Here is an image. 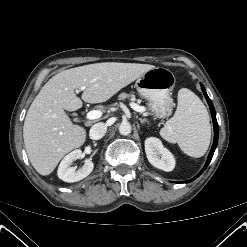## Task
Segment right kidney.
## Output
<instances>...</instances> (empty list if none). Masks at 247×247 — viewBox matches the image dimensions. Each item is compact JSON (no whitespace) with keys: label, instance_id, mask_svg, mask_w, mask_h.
I'll list each match as a JSON object with an SVG mask.
<instances>
[{"label":"right kidney","instance_id":"1","mask_svg":"<svg viewBox=\"0 0 247 247\" xmlns=\"http://www.w3.org/2000/svg\"><path fill=\"white\" fill-rule=\"evenodd\" d=\"M81 157L82 151L80 149H76L66 155L58 167V177L69 183L77 182L87 177L92 172L94 167L92 161H86L83 167L79 170H75L74 167H70L73 161L80 159Z\"/></svg>","mask_w":247,"mask_h":247}]
</instances>
